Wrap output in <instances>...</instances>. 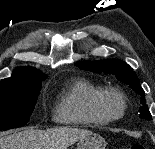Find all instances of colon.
Returning a JSON list of instances; mask_svg holds the SVG:
<instances>
[{"mask_svg": "<svg viewBox=\"0 0 155 149\" xmlns=\"http://www.w3.org/2000/svg\"><path fill=\"white\" fill-rule=\"evenodd\" d=\"M127 149H145V147L141 143H132L127 146Z\"/></svg>", "mask_w": 155, "mask_h": 149, "instance_id": "1", "label": "colon"}]
</instances>
